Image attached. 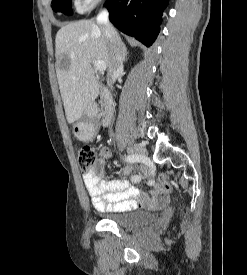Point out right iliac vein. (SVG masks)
<instances>
[{
    "label": "right iliac vein",
    "mask_w": 247,
    "mask_h": 275,
    "mask_svg": "<svg viewBox=\"0 0 247 275\" xmlns=\"http://www.w3.org/2000/svg\"><path fill=\"white\" fill-rule=\"evenodd\" d=\"M127 151L131 154H136L139 156H140V154H145V156L147 157V153H146V150L144 149V147L141 145H138V144L129 145L127 147Z\"/></svg>",
    "instance_id": "1"
}]
</instances>
